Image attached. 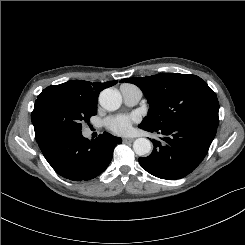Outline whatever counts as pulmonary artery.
<instances>
[{"label":"pulmonary artery","instance_id":"e3ab8cb5","mask_svg":"<svg viewBox=\"0 0 245 245\" xmlns=\"http://www.w3.org/2000/svg\"><path fill=\"white\" fill-rule=\"evenodd\" d=\"M120 91L124 103L128 106H133L137 104L142 97V91L134 85H130V84L122 85Z\"/></svg>","mask_w":245,"mask_h":245}]
</instances>
